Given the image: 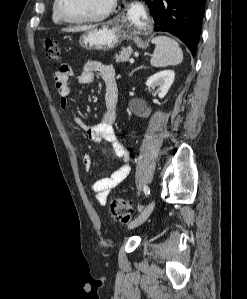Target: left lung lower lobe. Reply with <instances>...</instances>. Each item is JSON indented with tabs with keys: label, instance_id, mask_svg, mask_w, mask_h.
I'll use <instances>...</instances> for the list:
<instances>
[{
	"label": "left lung lower lobe",
	"instance_id": "1",
	"mask_svg": "<svg viewBox=\"0 0 247 299\" xmlns=\"http://www.w3.org/2000/svg\"><path fill=\"white\" fill-rule=\"evenodd\" d=\"M153 15L154 31H165L178 37L196 54L205 0H145Z\"/></svg>",
	"mask_w": 247,
	"mask_h": 299
}]
</instances>
